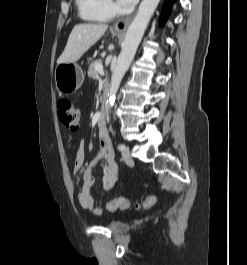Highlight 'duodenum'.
I'll return each instance as SVG.
<instances>
[{
    "label": "duodenum",
    "instance_id": "1",
    "mask_svg": "<svg viewBox=\"0 0 247 265\" xmlns=\"http://www.w3.org/2000/svg\"><path fill=\"white\" fill-rule=\"evenodd\" d=\"M106 111L104 108H102V110L100 111L99 115H98V125L100 127H103L106 123Z\"/></svg>",
    "mask_w": 247,
    "mask_h": 265
}]
</instances>
